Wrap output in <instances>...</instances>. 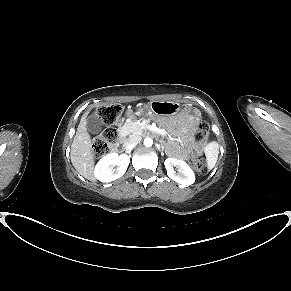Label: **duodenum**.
<instances>
[{"instance_id":"410a0bca","label":"duodenum","mask_w":291,"mask_h":291,"mask_svg":"<svg viewBox=\"0 0 291 291\" xmlns=\"http://www.w3.org/2000/svg\"><path fill=\"white\" fill-rule=\"evenodd\" d=\"M127 140H128V137H127L126 135H123V136L121 137V141L119 142V144H117V145L115 146L114 152H119V151H121L122 148L128 144Z\"/></svg>"}]
</instances>
